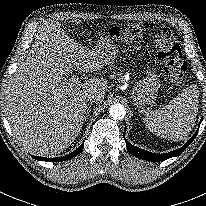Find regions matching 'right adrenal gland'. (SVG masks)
Instances as JSON below:
<instances>
[{"instance_id":"2a0ac1e0","label":"right adrenal gland","mask_w":206,"mask_h":206,"mask_svg":"<svg viewBox=\"0 0 206 206\" xmlns=\"http://www.w3.org/2000/svg\"><path fill=\"white\" fill-rule=\"evenodd\" d=\"M91 106H92V103L88 104V108H87V112H86L85 120H86V118H88L89 113L91 112Z\"/></svg>"}]
</instances>
